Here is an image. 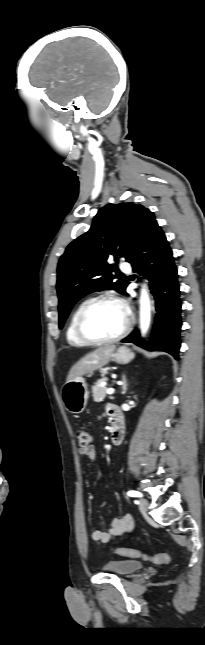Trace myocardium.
Wrapping results in <instances>:
<instances>
[{
    "label": "myocardium",
    "mask_w": 205,
    "mask_h": 645,
    "mask_svg": "<svg viewBox=\"0 0 205 645\" xmlns=\"http://www.w3.org/2000/svg\"><path fill=\"white\" fill-rule=\"evenodd\" d=\"M105 302H114L119 304L123 308L125 313V323L122 330L116 335L108 338H95L91 336L86 330V326H85L86 318L88 313L93 307ZM131 323H132L131 315L127 310V308L124 306V304L114 295L105 294V295H100L95 298H92L83 304V306L78 312L77 319H76V333L79 336V338L82 341H84L86 344L103 345V344L113 343L124 338L131 329Z\"/></svg>",
    "instance_id": "1"
}]
</instances>
